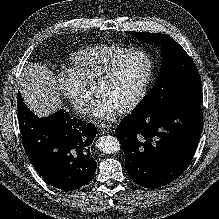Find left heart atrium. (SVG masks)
Returning <instances> with one entry per match:
<instances>
[{"label":"left heart atrium","instance_id":"left-heart-atrium-1","mask_svg":"<svg viewBox=\"0 0 219 219\" xmlns=\"http://www.w3.org/2000/svg\"><path fill=\"white\" fill-rule=\"evenodd\" d=\"M119 108L104 96H99L96 100L92 115L103 120H112L118 113Z\"/></svg>","mask_w":219,"mask_h":219}]
</instances>
